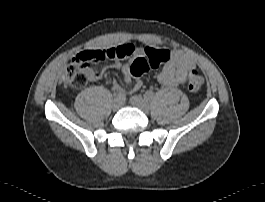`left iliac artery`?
<instances>
[{
  "mask_svg": "<svg viewBox=\"0 0 265 202\" xmlns=\"http://www.w3.org/2000/svg\"><path fill=\"white\" fill-rule=\"evenodd\" d=\"M153 96H154V93L151 92V91H147V92H145V94H144V97H145V98H148V99H152Z\"/></svg>",
  "mask_w": 265,
  "mask_h": 202,
  "instance_id": "44dca946",
  "label": "left iliac artery"
}]
</instances>
